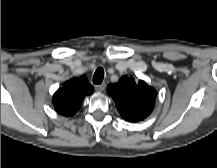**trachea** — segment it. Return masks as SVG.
<instances>
[{
  "instance_id": "1",
  "label": "trachea",
  "mask_w": 217,
  "mask_h": 168,
  "mask_svg": "<svg viewBox=\"0 0 217 168\" xmlns=\"http://www.w3.org/2000/svg\"><path fill=\"white\" fill-rule=\"evenodd\" d=\"M104 79V70L102 67L97 68L93 76V83L101 84Z\"/></svg>"
}]
</instances>
